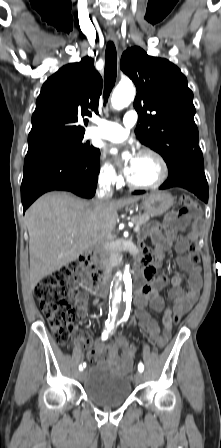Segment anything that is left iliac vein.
Here are the masks:
<instances>
[{"label":"left iliac vein","mask_w":221,"mask_h":448,"mask_svg":"<svg viewBox=\"0 0 221 448\" xmlns=\"http://www.w3.org/2000/svg\"><path fill=\"white\" fill-rule=\"evenodd\" d=\"M142 380H143V375H142V373H141V372H137V373L135 374V376H134V382H135L136 384H139V383L142 382Z\"/></svg>","instance_id":"left-iliac-vein-1"}]
</instances>
